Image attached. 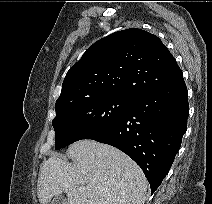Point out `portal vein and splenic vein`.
Instances as JSON below:
<instances>
[{"label": "portal vein and splenic vein", "mask_w": 212, "mask_h": 204, "mask_svg": "<svg viewBox=\"0 0 212 204\" xmlns=\"http://www.w3.org/2000/svg\"><path fill=\"white\" fill-rule=\"evenodd\" d=\"M79 191H80V192L85 191V187H80V188H79Z\"/></svg>", "instance_id": "portal-vein-and-splenic-vein-1"}]
</instances>
